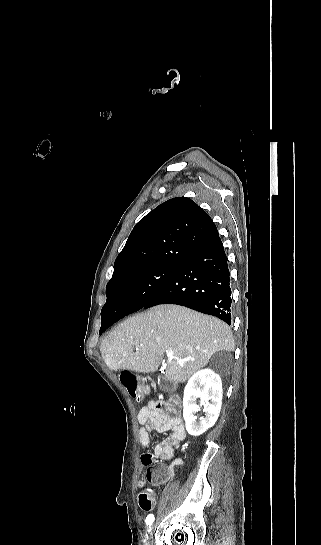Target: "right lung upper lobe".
<instances>
[{
    "mask_svg": "<svg viewBox=\"0 0 321 545\" xmlns=\"http://www.w3.org/2000/svg\"><path fill=\"white\" fill-rule=\"evenodd\" d=\"M216 234V225L194 201L183 197L170 199L135 225L107 285L128 271L159 264L182 265Z\"/></svg>",
    "mask_w": 321,
    "mask_h": 545,
    "instance_id": "cb5924a9",
    "label": "right lung upper lobe"
}]
</instances>
